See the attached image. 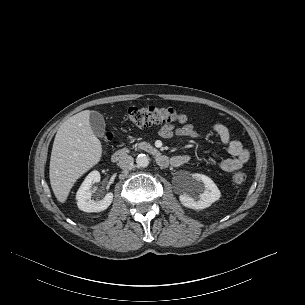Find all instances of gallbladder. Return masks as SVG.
Returning <instances> with one entry per match:
<instances>
[{
  "mask_svg": "<svg viewBox=\"0 0 305 305\" xmlns=\"http://www.w3.org/2000/svg\"><path fill=\"white\" fill-rule=\"evenodd\" d=\"M89 121L94 134L97 137L103 138L106 132V124L103 115L97 111H92L90 113Z\"/></svg>",
  "mask_w": 305,
  "mask_h": 305,
  "instance_id": "gallbladder-1",
  "label": "gallbladder"
}]
</instances>
